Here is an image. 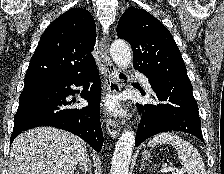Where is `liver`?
Returning <instances> with one entry per match:
<instances>
[{
  "label": "liver",
  "mask_w": 224,
  "mask_h": 174,
  "mask_svg": "<svg viewBox=\"0 0 224 174\" xmlns=\"http://www.w3.org/2000/svg\"><path fill=\"white\" fill-rule=\"evenodd\" d=\"M86 150L85 141L72 133L37 127L13 141L8 174H73Z\"/></svg>",
  "instance_id": "6515ba94"
}]
</instances>
